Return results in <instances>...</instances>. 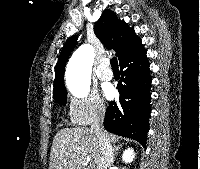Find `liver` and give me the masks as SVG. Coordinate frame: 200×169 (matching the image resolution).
Returning a JSON list of instances; mask_svg holds the SVG:
<instances>
[{
  "label": "liver",
  "instance_id": "obj_1",
  "mask_svg": "<svg viewBox=\"0 0 200 169\" xmlns=\"http://www.w3.org/2000/svg\"><path fill=\"white\" fill-rule=\"evenodd\" d=\"M108 138L118 141L112 134ZM100 155L98 138L90 128H64L53 139L49 169H81L86 161L97 164Z\"/></svg>",
  "mask_w": 200,
  "mask_h": 169
}]
</instances>
